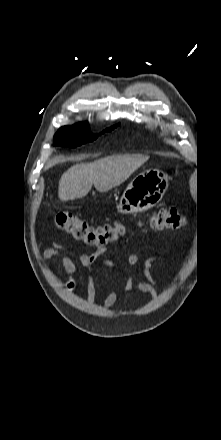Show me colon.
<instances>
[{"mask_svg":"<svg viewBox=\"0 0 221 440\" xmlns=\"http://www.w3.org/2000/svg\"><path fill=\"white\" fill-rule=\"evenodd\" d=\"M59 229L73 239L89 247L104 248L116 242L126 232L121 219L101 226H91L86 221L66 212L57 213L54 217ZM185 224V216L178 208H158L148 221L155 230H178Z\"/></svg>","mask_w":221,"mask_h":440,"instance_id":"1","label":"colon"}]
</instances>
